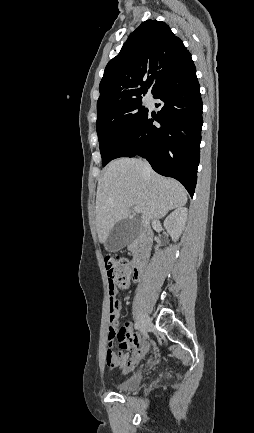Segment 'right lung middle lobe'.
<instances>
[{
	"mask_svg": "<svg viewBox=\"0 0 254 433\" xmlns=\"http://www.w3.org/2000/svg\"><path fill=\"white\" fill-rule=\"evenodd\" d=\"M147 112L142 99L123 102L98 112L97 134L103 166L114 159Z\"/></svg>",
	"mask_w": 254,
	"mask_h": 433,
	"instance_id": "dd1d6c3e",
	"label": "right lung middle lobe"
}]
</instances>
